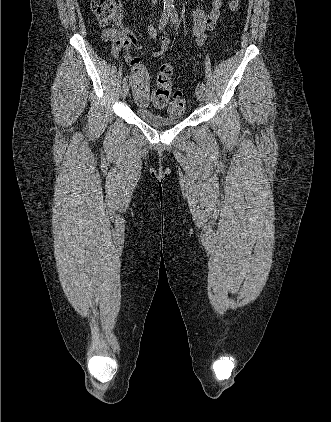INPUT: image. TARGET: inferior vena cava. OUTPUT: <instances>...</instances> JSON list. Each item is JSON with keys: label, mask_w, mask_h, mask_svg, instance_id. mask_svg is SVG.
<instances>
[{"label": "inferior vena cava", "mask_w": 331, "mask_h": 422, "mask_svg": "<svg viewBox=\"0 0 331 422\" xmlns=\"http://www.w3.org/2000/svg\"><path fill=\"white\" fill-rule=\"evenodd\" d=\"M152 3L155 5L157 3V0H152Z\"/></svg>", "instance_id": "602c4592"}]
</instances>
